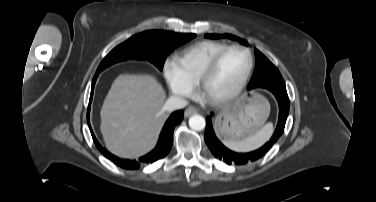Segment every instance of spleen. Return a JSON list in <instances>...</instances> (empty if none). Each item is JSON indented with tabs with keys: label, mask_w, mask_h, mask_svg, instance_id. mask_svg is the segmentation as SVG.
<instances>
[{
	"label": "spleen",
	"mask_w": 376,
	"mask_h": 202,
	"mask_svg": "<svg viewBox=\"0 0 376 202\" xmlns=\"http://www.w3.org/2000/svg\"><path fill=\"white\" fill-rule=\"evenodd\" d=\"M273 132V124L267 123L255 135L237 142H224V144L231 150L236 152H248L261 147L266 143Z\"/></svg>",
	"instance_id": "spleen-1"
}]
</instances>
